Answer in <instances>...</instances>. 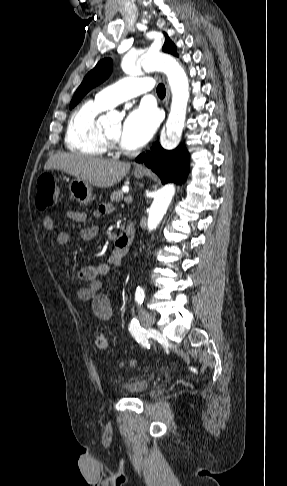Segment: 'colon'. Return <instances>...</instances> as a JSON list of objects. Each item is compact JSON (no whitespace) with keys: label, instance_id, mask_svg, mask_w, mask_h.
Listing matches in <instances>:
<instances>
[{"label":"colon","instance_id":"1","mask_svg":"<svg viewBox=\"0 0 287 486\" xmlns=\"http://www.w3.org/2000/svg\"><path fill=\"white\" fill-rule=\"evenodd\" d=\"M58 199V187L54 177L50 174H43L39 177L36 184V198L35 203L39 211H45L52 207ZM95 346L98 350L105 351L108 349L109 343L106 335L98 332L95 335ZM130 365H133L130 362Z\"/></svg>","mask_w":287,"mask_h":486}]
</instances>
